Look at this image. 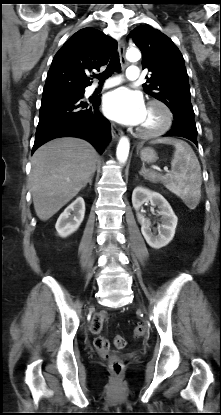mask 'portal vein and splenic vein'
<instances>
[{"mask_svg":"<svg viewBox=\"0 0 221 415\" xmlns=\"http://www.w3.org/2000/svg\"><path fill=\"white\" fill-rule=\"evenodd\" d=\"M164 171H165V172H168V168H167V167H165V168H164Z\"/></svg>","mask_w":221,"mask_h":415,"instance_id":"18ae733b","label":"portal vein and splenic vein"}]
</instances>
